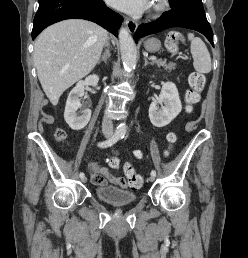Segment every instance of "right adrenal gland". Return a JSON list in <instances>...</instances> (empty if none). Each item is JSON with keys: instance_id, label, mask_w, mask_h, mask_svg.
I'll list each match as a JSON object with an SVG mask.
<instances>
[{"instance_id": "right-adrenal-gland-1", "label": "right adrenal gland", "mask_w": 248, "mask_h": 258, "mask_svg": "<svg viewBox=\"0 0 248 258\" xmlns=\"http://www.w3.org/2000/svg\"><path fill=\"white\" fill-rule=\"evenodd\" d=\"M109 57H110L109 51L105 50L104 53L102 54L101 59L98 61L97 64L99 65L101 63V61H103L106 64Z\"/></svg>"}]
</instances>
